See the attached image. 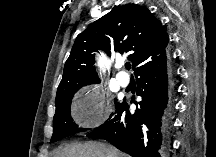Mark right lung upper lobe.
<instances>
[{
  "instance_id": "right-lung-upper-lobe-1",
  "label": "right lung upper lobe",
  "mask_w": 216,
  "mask_h": 157,
  "mask_svg": "<svg viewBox=\"0 0 216 157\" xmlns=\"http://www.w3.org/2000/svg\"><path fill=\"white\" fill-rule=\"evenodd\" d=\"M168 41L161 22L146 7L126 4L112 9L77 36L56 98L65 91L100 82L94 66L97 49L109 56L111 52H131L128 59L137 71L165 52Z\"/></svg>"
}]
</instances>
